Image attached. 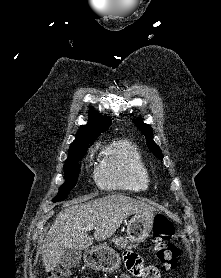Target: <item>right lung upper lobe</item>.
I'll return each instance as SVG.
<instances>
[{
  "label": "right lung upper lobe",
  "mask_w": 221,
  "mask_h": 278,
  "mask_svg": "<svg viewBox=\"0 0 221 278\" xmlns=\"http://www.w3.org/2000/svg\"><path fill=\"white\" fill-rule=\"evenodd\" d=\"M89 121L82 125L74 142L70 145L69 152L74 151L85 145L93 143L101 132L106 131L111 125L110 117H103L100 113L91 109L89 110Z\"/></svg>",
  "instance_id": "obj_1"
}]
</instances>
